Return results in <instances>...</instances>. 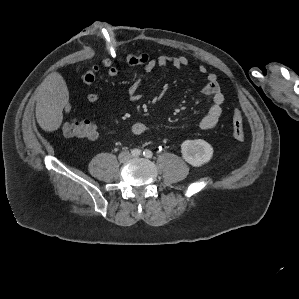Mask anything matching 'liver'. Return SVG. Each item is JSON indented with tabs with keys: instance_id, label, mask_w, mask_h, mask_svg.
<instances>
[{
	"instance_id": "liver-1",
	"label": "liver",
	"mask_w": 299,
	"mask_h": 299,
	"mask_svg": "<svg viewBox=\"0 0 299 299\" xmlns=\"http://www.w3.org/2000/svg\"><path fill=\"white\" fill-rule=\"evenodd\" d=\"M69 112V91L61 74L52 72L38 87L36 119L39 126L47 131L57 130L63 121V110Z\"/></svg>"
}]
</instances>
